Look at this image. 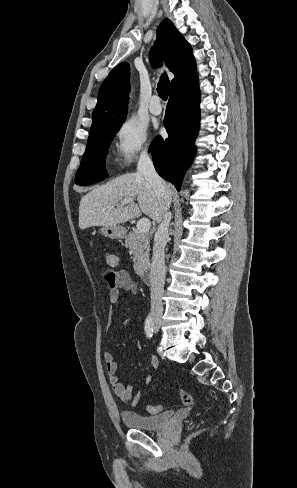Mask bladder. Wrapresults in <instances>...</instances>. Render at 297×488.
<instances>
[{"label":"bladder","instance_id":"1","mask_svg":"<svg viewBox=\"0 0 297 488\" xmlns=\"http://www.w3.org/2000/svg\"><path fill=\"white\" fill-rule=\"evenodd\" d=\"M173 415V411H167L157 415H141L132 411H123L121 413V420L126 427L131 429L155 431L166 426Z\"/></svg>","mask_w":297,"mask_h":488}]
</instances>
